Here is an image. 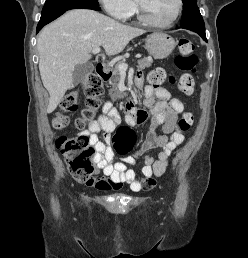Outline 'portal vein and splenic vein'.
Segmentation results:
<instances>
[{
    "mask_svg": "<svg viewBox=\"0 0 248 258\" xmlns=\"http://www.w3.org/2000/svg\"><path fill=\"white\" fill-rule=\"evenodd\" d=\"M100 52V48L99 47H95L93 50H92V53L93 54H98ZM141 56L140 55H136V58H140ZM118 68H119V71L121 73H125L128 69V64L127 63H121L118 65Z\"/></svg>",
    "mask_w": 248,
    "mask_h": 258,
    "instance_id": "portal-vein-and-splenic-vein-1",
    "label": "portal vein and splenic vein"
}]
</instances>
